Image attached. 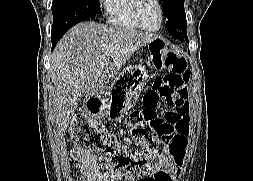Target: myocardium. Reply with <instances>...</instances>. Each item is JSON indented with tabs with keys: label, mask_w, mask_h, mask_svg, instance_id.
<instances>
[{
	"label": "myocardium",
	"mask_w": 253,
	"mask_h": 181,
	"mask_svg": "<svg viewBox=\"0 0 253 181\" xmlns=\"http://www.w3.org/2000/svg\"><path fill=\"white\" fill-rule=\"evenodd\" d=\"M141 2H142V0H132L131 14H132L134 22L137 24V26L140 29H142L144 31H148V32H157V31H159L162 28V26L164 24V19H165V12H164V7H163L162 2L160 0H154V2L158 6V9H159V12H160V23H159L157 28H153V29L146 27L141 21V18H140V15H139V9H140Z\"/></svg>",
	"instance_id": "1"
}]
</instances>
